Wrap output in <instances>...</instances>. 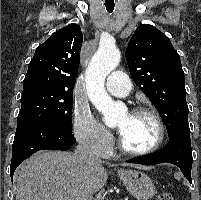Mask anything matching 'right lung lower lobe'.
Here are the masks:
<instances>
[{
	"label": "right lung lower lobe",
	"instance_id": "98d812e1",
	"mask_svg": "<svg viewBox=\"0 0 201 200\" xmlns=\"http://www.w3.org/2000/svg\"><path fill=\"white\" fill-rule=\"evenodd\" d=\"M76 139L72 130L49 120H29L17 124L12 145L10 176L25 159L39 150H67Z\"/></svg>",
	"mask_w": 201,
	"mask_h": 200
}]
</instances>
